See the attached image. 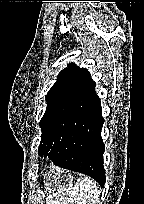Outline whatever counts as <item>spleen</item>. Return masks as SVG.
<instances>
[{
	"label": "spleen",
	"mask_w": 144,
	"mask_h": 204,
	"mask_svg": "<svg viewBox=\"0 0 144 204\" xmlns=\"http://www.w3.org/2000/svg\"><path fill=\"white\" fill-rule=\"evenodd\" d=\"M99 194L96 182L84 176L74 187L50 195L47 204H97Z\"/></svg>",
	"instance_id": "obj_1"
}]
</instances>
